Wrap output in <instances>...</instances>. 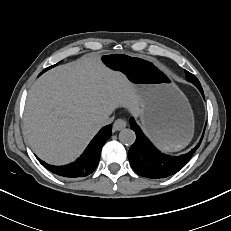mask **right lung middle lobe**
I'll return each mask as SVG.
<instances>
[{"label": "right lung middle lobe", "mask_w": 231, "mask_h": 231, "mask_svg": "<svg viewBox=\"0 0 231 231\" xmlns=\"http://www.w3.org/2000/svg\"><path fill=\"white\" fill-rule=\"evenodd\" d=\"M56 65H57V64H56ZM54 66H55V65L46 68L45 70H43V72H45L46 70H48V69H50V68H52V67H54Z\"/></svg>", "instance_id": "dd1d6c3e"}]
</instances>
